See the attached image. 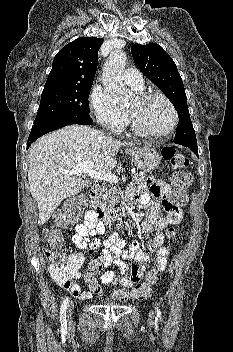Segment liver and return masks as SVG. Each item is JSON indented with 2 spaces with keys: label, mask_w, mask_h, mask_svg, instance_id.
I'll list each match as a JSON object with an SVG mask.
<instances>
[{
  "label": "liver",
  "mask_w": 233,
  "mask_h": 352,
  "mask_svg": "<svg viewBox=\"0 0 233 352\" xmlns=\"http://www.w3.org/2000/svg\"><path fill=\"white\" fill-rule=\"evenodd\" d=\"M126 145L133 144L83 125L66 126L32 144L28 181L39 208L38 224L46 223L61 201L78 194L86 185L84 179L60 170H72L78 164L92 162L95 171L107 173L116 166L120 147Z\"/></svg>",
  "instance_id": "liver-1"
}]
</instances>
